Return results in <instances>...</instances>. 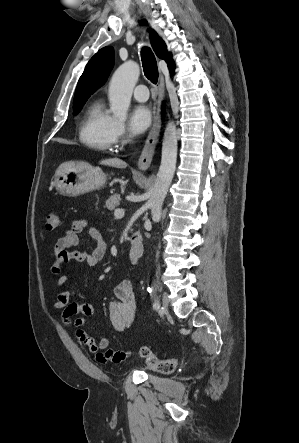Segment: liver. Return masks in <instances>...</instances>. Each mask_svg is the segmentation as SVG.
Masks as SVG:
<instances>
[{
    "label": "liver",
    "mask_w": 299,
    "mask_h": 443,
    "mask_svg": "<svg viewBox=\"0 0 299 443\" xmlns=\"http://www.w3.org/2000/svg\"><path fill=\"white\" fill-rule=\"evenodd\" d=\"M102 165L111 166V167H117V168H123L126 166V163L119 159V158H109L102 160L100 162Z\"/></svg>",
    "instance_id": "liver-1"
}]
</instances>
